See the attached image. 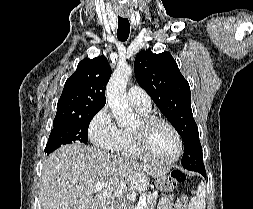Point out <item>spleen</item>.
Instances as JSON below:
<instances>
[{
    "mask_svg": "<svg viewBox=\"0 0 253 209\" xmlns=\"http://www.w3.org/2000/svg\"><path fill=\"white\" fill-rule=\"evenodd\" d=\"M206 185L203 181L199 184L196 196L189 203V209H205Z\"/></svg>",
    "mask_w": 253,
    "mask_h": 209,
    "instance_id": "spleen-1",
    "label": "spleen"
}]
</instances>
